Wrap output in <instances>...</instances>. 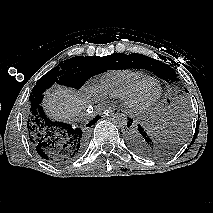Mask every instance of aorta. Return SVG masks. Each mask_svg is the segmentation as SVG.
<instances>
[{"label": "aorta", "mask_w": 213, "mask_h": 213, "mask_svg": "<svg viewBox=\"0 0 213 213\" xmlns=\"http://www.w3.org/2000/svg\"><path fill=\"white\" fill-rule=\"evenodd\" d=\"M113 123L119 128H125L128 123V118L123 113H116L112 118Z\"/></svg>", "instance_id": "762f6f07"}]
</instances>
